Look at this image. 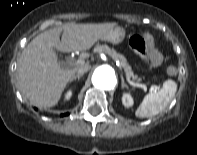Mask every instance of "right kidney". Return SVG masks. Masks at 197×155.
<instances>
[{"label": "right kidney", "mask_w": 197, "mask_h": 155, "mask_svg": "<svg viewBox=\"0 0 197 155\" xmlns=\"http://www.w3.org/2000/svg\"><path fill=\"white\" fill-rule=\"evenodd\" d=\"M71 97H72V91L69 90V91L66 92V94L64 96V100L68 101V100H70Z\"/></svg>", "instance_id": "1"}]
</instances>
